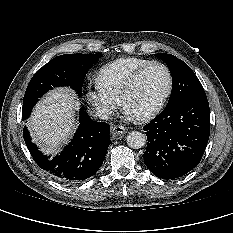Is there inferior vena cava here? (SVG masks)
<instances>
[{"mask_svg":"<svg viewBox=\"0 0 233 233\" xmlns=\"http://www.w3.org/2000/svg\"><path fill=\"white\" fill-rule=\"evenodd\" d=\"M96 112L97 116L102 120L108 119L111 114V111L105 106L97 107Z\"/></svg>","mask_w":233,"mask_h":233,"instance_id":"inferior-vena-cava-1","label":"inferior vena cava"}]
</instances>
